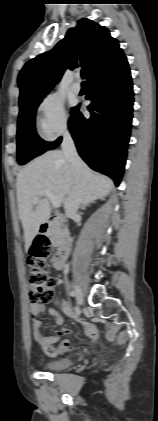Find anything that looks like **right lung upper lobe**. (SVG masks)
<instances>
[{"label":"right lung upper lobe","mask_w":158,"mask_h":421,"mask_svg":"<svg viewBox=\"0 0 158 421\" xmlns=\"http://www.w3.org/2000/svg\"><path fill=\"white\" fill-rule=\"evenodd\" d=\"M118 41L104 26L87 18L55 47L28 61L18 76L19 104L47 94L61 79L65 69L81 67L87 80L106 63L122 54Z\"/></svg>","instance_id":"1"}]
</instances>
